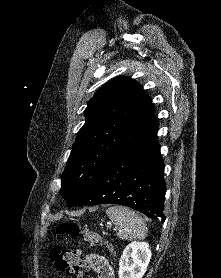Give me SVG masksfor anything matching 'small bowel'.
I'll list each match as a JSON object with an SVG mask.
<instances>
[{
    "label": "small bowel",
    "mask_w": 221,
    "mask_h": 278,
    "mask_svg": "<svg viewBox=\"0 0 221 278\" xmlns=\"http://www.w3.org/2000/svg\"><path fill=\"white\" fill-rule=\"evenodd\" d=\"M82 264L96 273V278H115L114 269L108 260L98 254L83 255Z\"/></svg>",
    "instance_id": "1"
}]
</instances>
